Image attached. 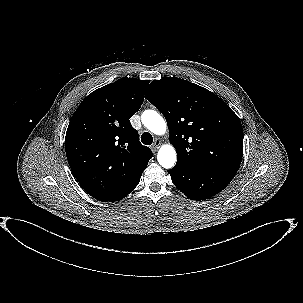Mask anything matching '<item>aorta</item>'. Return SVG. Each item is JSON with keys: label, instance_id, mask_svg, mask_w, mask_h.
I'll list each match as a JSON object with an SVG mask.
<instances>
[{"label": "aorta", "instance_id": "obj_1", "mask_svg": "<svg viewBox=\"0 0 303 303\" xmlns=\"http://www.w3.org/2000/svg\"><path fill=\"white\" fill-rule=\"evenodd\" d=\"M143 125L156 135H164L167 125L163 117L154 110H145L141 115ZM159 164L166 169L172 168L177 161V154L170 144L163 145L157 154Z\"/></svg>", "mask_w": 303, "mask_h": 303}]
</instances>
